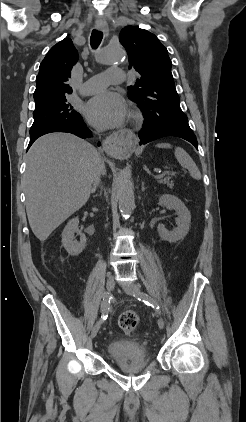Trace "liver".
I'll return each instance as SVG.
<instances>
[{
    "label": "liver",
    "mask_w": 246,
    "mask_h": 422,
    "mask_svg": "<svg viewBox=\"0 0 246 422\" xmlns=\"http://www.w3.org/2000/svg\"><path fill=\"white\" fill-rule=\"evenodd\" d=\"M95 152L91 144L69 133L44 135L29 149L24 174L26 212L40 241L88 201ZM101 166L105 173L102 162Z\"/></svg>",
    "instance_id": "obj_1"
}]
</instances>
